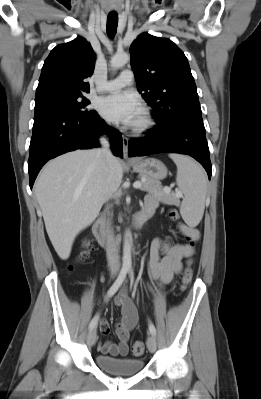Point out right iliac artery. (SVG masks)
I'll return each instance as SVG.
<instances>
[{
    "mask_svg": "<svg viewBox=\"0 0 261 399\" xmlns=\"http://www.w3.org/2000/svg\"><path fill=\"white\" fill-rule=\"evenodd\" d=\"M127 271L128 270L126 268L121 269L117 279L115 280V282L113 283V285L110 287V289L107 292V295L105 297L106 302L109 300V298H111L118 291V289L120 288V286L126 279ZM98 319H99V314H97L93 317V319L91 320V322L89 324L90 330L94 329L97 326Z\"/></svg>",
    "mask_w": 261,
    "mask_h": 399,
    "instance_id": "82829eb1",
    "label": "right iliac artery"
}]
</instances>
